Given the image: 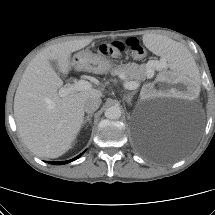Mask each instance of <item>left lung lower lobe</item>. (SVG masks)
Listing matches in <instances>:
<instances>
[{"label":"left lung lower lobe","instance_id":"obj_1","mask_svg":"<svg viewBox=\"0 0 215 215\" xmlns=\"http://www.w3.org/2000/svg\"><path fill=\"white\" fill-rule=\"evenodd\" d=\"M157 154H159L160 156H163L165 158L166 157L170 158V157L176 156L178 153L176 152V150L172 146L165 145L164 147L160 148L157 151Z\"/></svg>","mask_w":215,"mask_h":215}]
</instances>
